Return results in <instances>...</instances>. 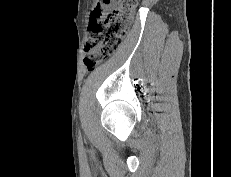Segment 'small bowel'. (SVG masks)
Wrapping results in <instances>:
<instances>
[{
  "mask_svg": "<svg viewBox=\"0 0 231 177\" xmlns=\"http://www.w3.org/2000/svg\"><path fill=\"white\" fill-rule=\"evenodd\" d=\"M110 5H111V4H107V5L102 4V5H101V13H102V11L107 10V8H108Z\"/></svg>",
  "mask_w": 231,
  "mask_h": 177,
  "instance_id": "c3829d8e",
  "label": "small bowel"
}]
</instances>
